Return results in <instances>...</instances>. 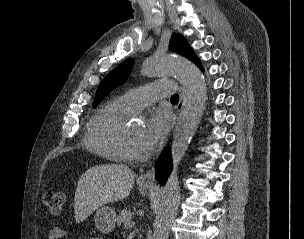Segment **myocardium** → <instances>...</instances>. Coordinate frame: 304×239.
I'll use <instances>...</instances> for the list:
<instances>
[{
	"instance_id": "1",
	"label": "myocardium",
	"mask_w": 304,
	"mask_h": 239,
	"mask_svg": "<svg viewBox=\"0 0 304 239\" xmlns=\"http://www.w3.org/2000/svg\"><path fill=\"white\" fill-rule=\"evenodd\" d=\"M118 148L122 159L125 161L138 162L145 158L143 153H136L131 149L126 126L123 127L120 133Z\"/></svg>"
}]
</instances>
